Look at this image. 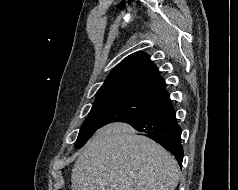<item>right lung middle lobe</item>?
<instances>
[{
  "label": "right lung middle lobe",
  "instance_id": "right-lung-middle-lobe-1",
  "mask_svg": "<svg viewBox=\"0 0 238 190\" xmlns=\"http://www.w3.org/2000/svg\"><path fill=\"white\" fill-rule=\"evenodd\" d=\"M154 104L131 96H114L97 99L83 123L75 148H81L102 126L112 122H123L137 116Z\"/></svg>",
  "mask_w": 238,
  "mask_h": 190
}]
</instances>
